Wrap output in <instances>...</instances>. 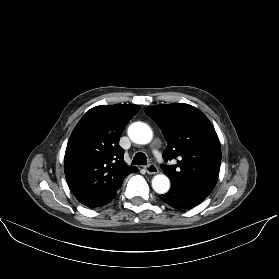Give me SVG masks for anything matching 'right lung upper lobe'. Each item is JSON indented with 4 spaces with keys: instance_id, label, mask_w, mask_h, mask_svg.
I'll return each instance as SVG.
<instances>
[{
    "instance_id": "right-lung-upper-lobe-1",
    "label": "right lung upper lobe",
    "mask_w": 279,
    "mask_h": 279,
    "mask_svg": "<svg viewBox=\"0 0 279 279\" xmlns=\"http://www.w3.org/2000/svg\"><path fill=\"white\" fill-rule=\"evenodd\" d=\"M139 105H100L90 109L74 128L65 152V176L80 203L90 208L107 204L123 179L137 172L123 159L120 136Z\"/></svg>"
}]
</instances>
